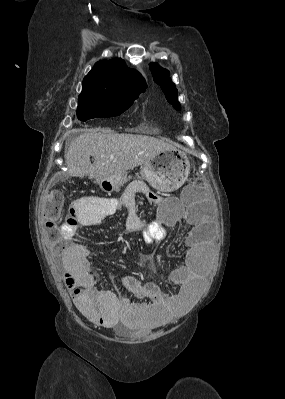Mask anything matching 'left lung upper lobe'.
<instances>
[{
    "instance_id": "1",
    "label": "left lung upper lobe",
    "mask_w": 285,
    "mask_h": 399,
    "mask_svg": "<svg viewBox=\"0 0 285 399\" xmlns=\"http://www.w3.org/2000/svg\"><path fill=\"white\" fill-rule=\"evenodd\" d=\"M150 70L154 81L161 87L168 102L173 104L175 109L179 110L180 104L177 100V89L169 78L167 70L162 69L157 64L153 63H150Z\"/></svg>"
}]
</instances>
